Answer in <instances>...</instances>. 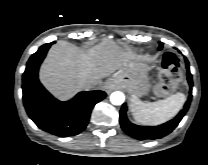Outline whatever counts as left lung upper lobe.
<instances>
[{
	"instance_id": "left-lung-upper-lobe-1",
	"label": "left lung upper lobe",
	"mask_w": 208,
	"mask_h": 165,
	"mask_svg": "<svg viewBox=\"0 0 208 165\" xmlns=\"http://www.w3.org/2000/svg\"><path fill=\"white\" fill-rule=\"evenodd\" d=\"M163 44L162 43H160V47L162 46Z\"/></svg>"
}]
</instances>
